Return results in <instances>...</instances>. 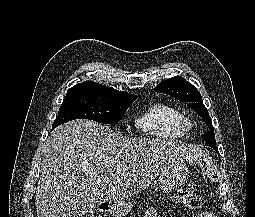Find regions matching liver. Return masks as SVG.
I'll return each instance as SVG.
<instances>
[{
	"label": "liver",
	"instance_id": "6515ba94",
	"mask_svg": "<svg viewBox=\"0 0 255 217\" xmlns=\"http://www.w3.org/2000/svg\"><path fill=\"white\" fill-rule=\"evenodd\" d=\"M41 155L37 215L69 217L80 201L104 203L130 197L163 170L196 160L202 152L173 141L124 137L99 123L75 120L48 136Z\"/></svg>",
	"mask_w": 255,
	"mask_h": 217
}]
</instances>
